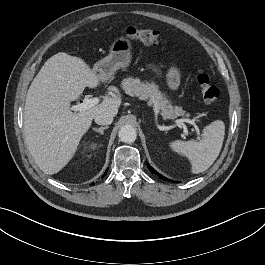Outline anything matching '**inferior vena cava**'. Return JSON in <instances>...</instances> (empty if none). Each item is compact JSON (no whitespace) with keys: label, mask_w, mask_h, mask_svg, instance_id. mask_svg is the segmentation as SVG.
Wrapping results in <instances>:
<instances>
[{"label":"inferior vena cava","mask_w":265,"mask_h":265,"mask_svg":"<svg viewBox=\"0 0 265 265\" xmlns=\"http://www.w3.org/2000/svg\"><path fill=\"white\" fill-rule=\"evenodd\" d=\"M113 113L109 111H101L94 117V121L99 125H108L113 122Z\"/></svg>","instance_id":"1"}]
</instances>
